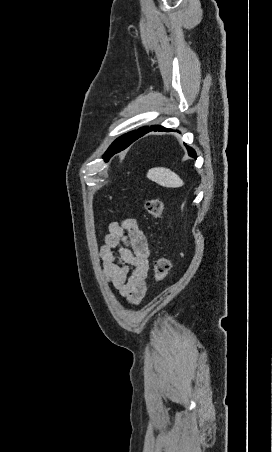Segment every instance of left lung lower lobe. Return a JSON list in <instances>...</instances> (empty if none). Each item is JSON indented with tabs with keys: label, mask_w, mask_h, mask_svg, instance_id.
<instances>
[{
	"label": "left lung lower lobe",
	"mask_w": 272,
	"mask_h": 452,
	"mask_svg": "<svg viewBox=\"0 0 272 452\" xmlns=\"http://www.w3.org/2000/svg\"><path fill=\"white\" fill-rule=\"evenodd\" d=\"M152 131H166V132H169V131H172V130H171V129H166V128H164V127H162V126H159V125H157V126H151V127H146V128H144L143 130H141L140 132H138L137 134H135L134 136H132L131 139L128 140V141L126 142V144H124L125 140H124L123 137L121 136V137H119L118 139H116V140L112 143V145L110 146V148H109V154H108V157H107L106 161H107L112 155H114L115 153H118V152L124 150L126 147H128V146H129L131 143H133L135 140H137L138 138H140V137H142L143 135H145V134H147V133H149V132H152ZM123 140H124V141H123ZM121 142H122V143H121ZM187 149H188V154H189V156H191V157H193V158H196V157H197L195 151H194L191 147H187Z\"/></svg>",
	"instance_id": "1"
}]
</instances>
